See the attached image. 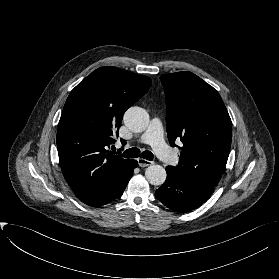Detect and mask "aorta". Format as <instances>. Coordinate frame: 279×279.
Masks as SVG:
<instances>
[{
    "instance_id": "1",
    "label": "aorta",
    "mask_w": 279,
    "mask_h": 279,
    "mask_svg": "<svg viewBox=\"0 0 279 279\" xmlns=\"http://www.w3.org/2000/svg\"><path fill=\"white\" fill-rule=\"evenodd\" d=\"M124 124L133 132H143L149 124V115L143 108L131 107L123 117ZM165 169L157 164L150 165L145 171V177L152 185H162L166 180Z\"/></svg>"
}]
</instances>
